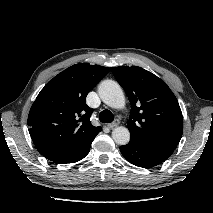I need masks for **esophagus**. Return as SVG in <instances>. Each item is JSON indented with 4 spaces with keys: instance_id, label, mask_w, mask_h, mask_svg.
<instances>
[{
    "instance_id": "1",
    "label": "esophagus",
    "mask_w": 213,
    "mask_h": 213,
    "mask_svg": "<svg viewBox=\"0 0 213 213\" xmlns=\"http://www.w3.org/2000/svg\"><path fill=\"white\" fill-rule=\"evenodd\" d=\"M119 124H120V121L118 119H116L114 122L108 124V127L112 129V128L117 127Z\"/></svg>"
}]
</instances>
